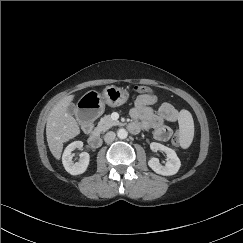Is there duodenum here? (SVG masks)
Instances as JSON below:
<instances>
[{
	"mask_svg": "<svg viewBox=\"0 0 243 243\" xmlns=\"http://www.w3.org/2000/svg\"><path fill=\"white\" fill-rule=\"evenodd\" d=\"M88 143L91 147L97 148L102 144V139L97 132H93L88 139Z\"/></svg>",
	"mask_w": 243,
	"mask_h": 243,
	"instance_id": "obj_1",
	"label": "duodenum"
}]
</instances>
